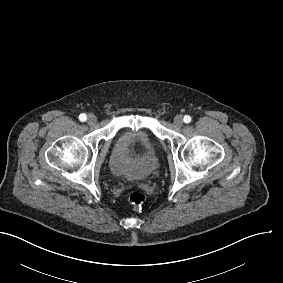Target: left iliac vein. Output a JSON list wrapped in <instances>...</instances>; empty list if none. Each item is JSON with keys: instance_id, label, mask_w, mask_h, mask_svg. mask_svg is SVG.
<instances>
[{"instance_id": "left-iliac-vein-1", "label": "left iliac vein", "mask_w": 283, "mask_h": 283, "mask_svg": "<svg viewBox=\"0 0 283 283\" xmlns=\"http://www.w3.org/2000/svg\"><path fill=\"white\" fill-rule=\"evenodd\" d=\"M174 124L178 127L182 126L183 124V117L181 115H177L175 118H174Z\"/></svg>"}]
</instances>
